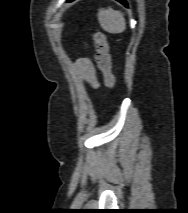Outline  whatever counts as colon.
Wrapping results in <instances>:
<instances>
[{"mask_svg": "<svg viewBox=\"0 0 188 213\" xmlns=\"http://www.w3.org/2000/svg\"><path fill=\"white\" fill-rule=\"evenodd\" d=\"M94 42L96 55L95 59L99 69L101 70L105 84L113 88L115 86L116 77L112 70L111 56L109 52V45L107 37L103 32H96L94 34Z\"/></svg>", "mask_w": 188, "mask_h": 213, "instance_id": "colon-1", "label": "colon"}]
</instances>
